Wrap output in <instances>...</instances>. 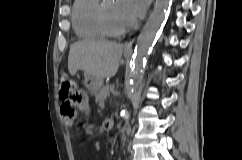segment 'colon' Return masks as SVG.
Wrapping results in <instances>:
<instances>
[{"mask_svg": "<svg viewBox=\"0 0 242 160\" xmlns=\"http://www.w3.org/2000/svg\"><path fill=\"white\" fill-rule=\"evenodd\" d=\"M60 98L66 103L62 108L63 116L74 118L82 103L85 102V92L66 74L60 76Z\"/></svg>", "mask_w": 242, "mask_h": 160, "instance_id": "1", "label": "colon"}]
</instances>
